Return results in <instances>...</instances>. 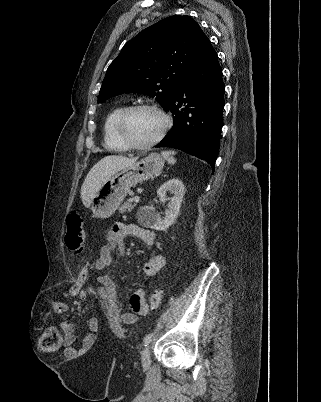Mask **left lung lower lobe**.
Instances as JSON below:
<instances>
[{
	"label": "left lung lower lobe",
	"instance_id": "1",
	"mask_svg": "<svg viewBox=\"0 0 321 402\" xmlns=\"http://www.w3.org/2000/svg\"><path fill=\"white\" fill-rule=\"evenodd\" d=\"M225 85L211 43L179 82L167 106L173 128L156 147H172L209 163L214 170L220 146Z\"/></svg>",
	"mask_w": 321,
	"mask_h": 402
}]
</instances>
